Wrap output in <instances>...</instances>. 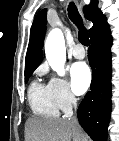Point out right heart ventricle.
Listing matches in <instances>:
<instances>
[{"mask_svg": "<svg viewBox=\"0 0 119 141\" xmlns=\"http://www.w3.org/2000/svg\"><path fill=\"white\" fill-rule=\"evenodd\" d=\"M28 99L33 112L43 117H58L59 107L48 84L33 81L29 87Z\"/></svg>", "mask_w": 119, "mask_h": 141, "instance_id": "1", "label": "right heart ventricle"}]
</instances>
